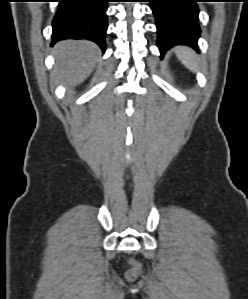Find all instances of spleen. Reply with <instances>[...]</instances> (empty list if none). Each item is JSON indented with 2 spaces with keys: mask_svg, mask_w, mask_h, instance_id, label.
I'll use <instances>...</instances> for the list:
<instances>
[{
  "mask_svg": "<svg viewBox=\"0 0 248 299\" xmlns=\"http://www.w3.org/2000/svg\"><path fill=\"white\" fill-rule=\"evenodd\" d=\"M178 59L191 71L198 70V62L195 52L189 47H177L175 49Z\"/></svg>",
  "mask_w": 248,
  "mask_h": 299,
  "instance_id": "3e777b00",
  "label": "spleen"
}]
</instances>
